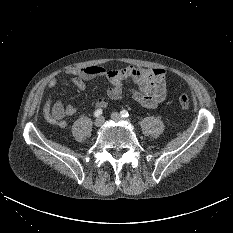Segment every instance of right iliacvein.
Returning a JSON list of instances; mask_svg holds the SVG:
<instances>
[{"instance_id": "right-iliac-vein-1", "label": "right iliac vein", "mask_w": 233, "mask_h": 233, "mask_svg": "<svg viewBox=\"0 0 233 233\" xmlns=\"http://www.w3.org/2000/svg\"><path fill=\"white\" fill-rule=\"evenodd\" d=\"M96 127H101L104 124V118L103 117H99L95 120L94 122Z\"/></svg>"}]
</instances>
